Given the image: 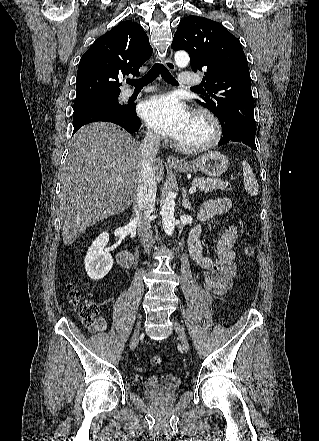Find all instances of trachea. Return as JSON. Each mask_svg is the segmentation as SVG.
I'll return each instance as SVG.
<instances>
[{"label":"trachea","instance_id":"1","mask_svg":"<svg viewBox=\"0 0 319 441\" xmlns=\"http://www.w3.org/2000/svg\"><path fill=\"white\" fill-rule=\"evenodd\" d=\"M159 75L169 84L178 86V82L171 75L168 69L161 63H155L145 76L138 80H128L127 83L133 85L135 88H142L147 84L154 81ZM192 89H198V87H193Z\"/></svg>","mask_w":319,"mask_h":441}]
</instances>
